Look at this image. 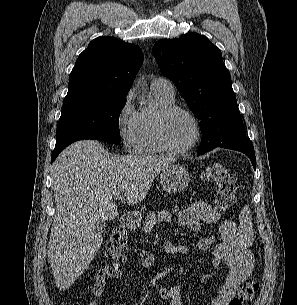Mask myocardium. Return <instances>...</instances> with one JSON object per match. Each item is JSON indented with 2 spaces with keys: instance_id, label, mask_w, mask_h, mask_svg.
<instances>
[{
  "instance_id": "myocardium-1",
  "label": "myocardium",
  "mask_w": 297,
  "mask_h": 305,
  "mask_svg": "<svg viewBox=\"0 0 297 305\" xmlns=\"http://www.w3.org/2000/svg\"><path fill=\"white\" fill-rule=\"evenodd\" d=\"M175 113H183L190 118L194 125L195 134L193 139L187 145L183 147L174 148L168 145L164 138L163 126L164 122ZM153 141L156 147L166 154L170 155H180L190 151L200 140L201 137V125L197 116L189 109L178 106V105H170L167 107L160 108L153 119Z\"/></svg>"
}]
</instances>
